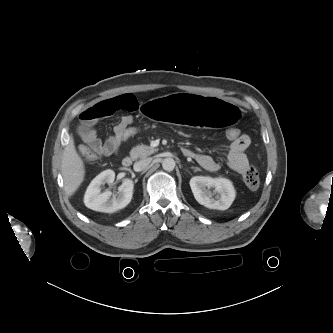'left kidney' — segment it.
Masks as SVG:
<instances>
[{
	"instance_id": "5707ae66",
	"label": "left kidney",
	"mask_w": 333,
	"mask_h": 333,
	"mask_svg": "<svg viewBox=\"0 0 333 333\" xmlns=\"http://www.w3.org/2000/svg\"><path fill=\"white\" fill-rule=\"evenodd\" d=\"M190 187L197 202L210 209L226 210L235 199L234 187L226 178L196 176Z\"/></svg>"
}]
</instances>
